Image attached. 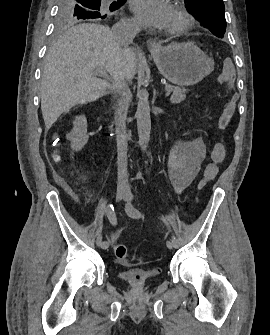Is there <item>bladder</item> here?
I'll use <instances>...</instances> for the list:
<instances>
[{
	"instance_id": "1",
	"label": "bladder",
	"mask_w": 270,
	"mask_h": 335,
	"mask_svg": "<svg viewBox=\"0 0 270 335\" xmlns=\"http://www.w3.org/2000/svg\"><path fill=\"white\" fill-rule=\"evenodd\" d=\"M155 275L156 273H151L150 269H133L122 272L119 277L135 288H139L140 285L151 284L155 279Z\"/></svg>"
}]
</instances>
